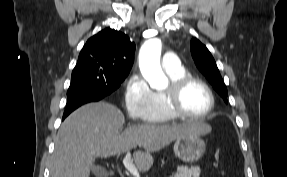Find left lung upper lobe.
<instances>
[{
    "instance_id": "left-lung-upper-lobe-1",
    "label": "left lung upper lobe",
    "mask_w": 287,
    "mask_h": 177,
    "mask_svg": "<svg viewBox=\"0 0 287 177\" xmlns=\"http://www.w3.org/2000/svg\"><path fill=\"white\" fill-rule=\"evenodd\" d=\"M191 53L198 69L206 76L213 88L227 103V89L219 73L216 62L209 50L199 40H191Z\"/></svg>"
}]
</instances>
